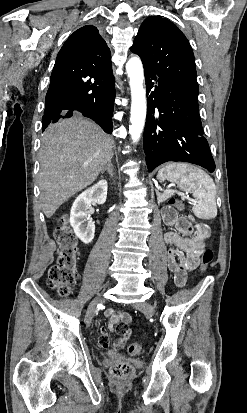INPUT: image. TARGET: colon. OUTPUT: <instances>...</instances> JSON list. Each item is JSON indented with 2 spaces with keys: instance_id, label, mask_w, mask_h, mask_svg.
<instances>
[{
  "instance_id": "obj_1",
  "label": "colon",
  "mask_w": 247,
  "mask_h": 413,
  "mask_svg": "<svg viewBox=\"0 0 247 413\" xmlns=\"http://www.w3.org/2000/svg\"><path fill=\"white\" fill-rule=\"evenodd\" d=\"M167 201L174 204L176 209L182 207V203L171 198ZM56 242L59 245V260L56 264L49 268L47 276V285L50 289L55 290L60 296L66 297L70 293V286L76 284L78 274L76 271L78 261L77 239L71 230L67 218L62 216L57 220V225L54 230ZM214 253L207 248L201 254V271L207 272L209 264L213 261ZM131 354L139 353L141 346L138 342H132L128 346ZM133 367L128 363L118 364L113 367L112 375L114 381H131Z\"/></svg>"
}]
</instances>
